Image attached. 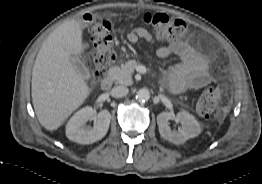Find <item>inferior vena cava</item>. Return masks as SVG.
Returning <instances> with one entry per match:
<instances>
[{
    "mask_svg": "<svg viewBox=\"0 0 262 184\" xmlns=\"http://www.w3.org/2000/svg\"><path fill=\"white\" fill-rule=\"evenodd\" d=\"M129 89L125 86H116L112 88L111 95L116 98L124 97L128 94Z\"/></svg>",
    "mask_w": 262,
    "mask_h": 184,
    "instance_id": "602c4592",
    "label": "inferior vena cava"
}]
</instances>
